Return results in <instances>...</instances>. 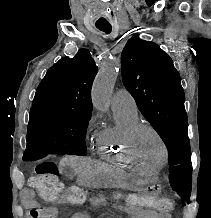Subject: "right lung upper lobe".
<instances>
[{"label":"right lung upper lobe","mask_w":211,"mask_h":218,"mask_svg":"<svg viewBox=\"0 0 211 218\" xmlns=\"http://www.w3.org/2000/svg\"><path fill=\"white\" fill-rule=\"evenodd\" d=\"M98 69L87 49L64 57L46 73L32 107L44 106L92 112L91 87Z\"/></svg>","instance_id":"1"}]
</instances>
